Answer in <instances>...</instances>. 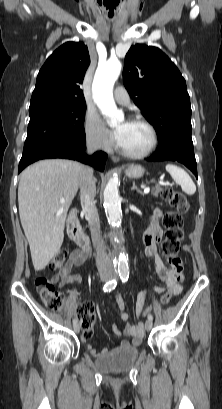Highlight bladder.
Returning a JSON list of instances; mask_svg holds the SVG:
<instances>
[{"label":"bladder","mask_w":222,"mask_h":409,"mask_svg":"<svg viewBox=\"0 0 222 409\" xmlns=\"http://www.w3.org/2000/svg\"><path fill=\"white\" fill-rule=\"evenodd\" d=\"M139 354L135 346L117 347L108 354L96 359V367L104 373H117L130 370Z\"/></svg>","instance_id":"31cf9c89"}]
</instances>
